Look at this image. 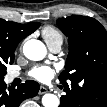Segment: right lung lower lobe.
Listing matches in <instances>:
<instances>
[{
	"instance_id": "right-lung-lower-lobe-1",
	"label": "right lung lower lobe",
	"mask_w": 107,
	"mask_h": 107,
	"mask_svg": "<svg viewBox=\"0 0 107 107\" xmlns=\"http://www.w3.org/2000/svg\"><path fill=\"white\" fill-rule=\"evenodd\" d=\"M39 84L35 81H26L17 89L6 88L3 80L0 81V107H19L20 103L30 97L37 95Z\"/></svg>"
}]
</instances>
